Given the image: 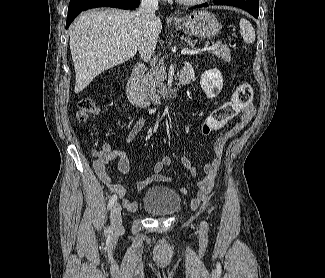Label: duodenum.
I'll list each match as a JSON object with an SVG mask.
<instances>
[{"label": "duodenum", "mask_w": 325, "mask_h": 278, "mask_svg": "<svg viewBox=\"0 0 325 278\" xmlns=\"http://www.w3.org/2000/svg\"><path fill=\"white\" fill-rule=\"evenodd\" d=\"M145 73V67L139 64L134 67L131 74L129 75L126 91L131 103L138 108H150L152 102L142 91V78ZM192 79V68L185 66L181 69L178 75L179 85H187Z\"/></svg>", "instance_id": "410a0bca"}]
</instances>
